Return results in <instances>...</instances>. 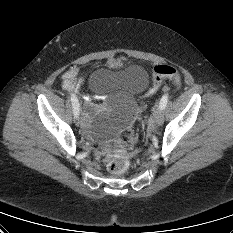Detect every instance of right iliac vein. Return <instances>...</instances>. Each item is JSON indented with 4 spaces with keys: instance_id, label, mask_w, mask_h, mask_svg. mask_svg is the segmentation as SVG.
I'll return each mask as SVG.
<instances>
[{
    "instance_id": "right-iliac-vein-1",
    "label": "right iliac vein",
    "mask_w": 233,
    "mask_h": 233,
    "mask_svg": "<svg viewBox=\"0 0 233 233\" xmlns=\"http://www.w3.org/2000/svg\"><path fill=\"white\" fill-rule=\"evenodd\" d=\"M75 122H76V124H80V120H79L78 115H77V116H75Z\"/></svg>"
}]
</instances>
